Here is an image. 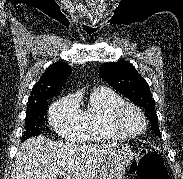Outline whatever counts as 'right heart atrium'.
<instances>
[{"instance_id": "d8ad5b80", "label": "right heart atrium", "mask_w": 183, "mask_h": 179, "mask_svg": "<svg viewBox=\"0 0 183 179\" xmlns=\"http://www.w3.org/2000/svg\"><path fill=\"white\" fill-rule=\"evenodd\" d=\"M50 122L55 131L67 140H78L83 133V116L75 95H67L50 109Z\"/></svg>"}]
</instances>
